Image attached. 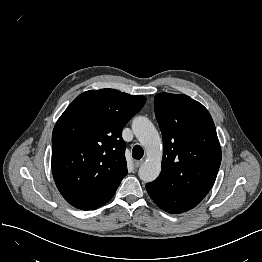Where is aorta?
Masks as SVG:
<instances>
[{
    "mask_svg": "<svg viewBox=\"0 0 262 262\" xmlns=\"http://www.w3.org/2000/svg\"><path fill=\"white\" fill-rule=\"evenodd\" d=\"M132 130L147 153V158L140 166L138 175L142 181L152 182L161 172V138L153 123L143 116H138L133 120Z\"/></svg>",
    "mask_w": 262,
    "mask_h": 262,
    "instance_id": "762f6f07",
    "label": "aorta"
}]
</instances>
